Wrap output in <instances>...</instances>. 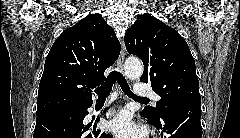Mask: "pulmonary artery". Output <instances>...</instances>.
I'll return each mask as SVG.
<instances>
[{
  "instance_id": "1",
  "label": "pulmonary artery",
  "mask_w": 240,
  "mask_h": 138,
  "mask_svg": "<svg viewBox=\"0 0 240 138\" xmlns=\"http://www.w3.org/2000/svg\"><path fill=\"white\" fill-rule=\"evenodd\" d=\"M134 94L137 97H151L154 101H158L159 100V96L157 94H155L150 87L142 84V83H137L136 87L134 89Z\"/></svg>"
}]
</instances>
